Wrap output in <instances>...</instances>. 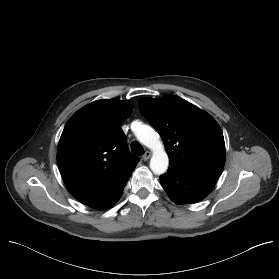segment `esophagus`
I'll return each mask as SVG.
<instances>
[{
  "mask_svg": "<svg viewBox=\"0 0 279 279\" xmlns=\"http://www.w3.org/2000/svg\"><path fill=\"white\" fill-rule=\"evenodd\" d=\"M151 157V152L146 151L145 154L142 156L144 161H147Z\"/></svg>",
  "mask_w": 279,
  "mask_h": 279,
  "instance_id": "obj_1",
  "label": "esophagus"
}]
</instances>
